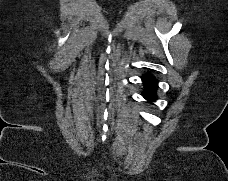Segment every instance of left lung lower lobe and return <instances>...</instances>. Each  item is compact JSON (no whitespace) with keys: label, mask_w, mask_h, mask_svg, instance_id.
Returning <instances> with one entry per match:
<instances>
[{"label":"left lung lower lobe","mask_w":228,"mask_h":181,"mask_svg":"<svg viewBox=\"0 0 228 181\" xmlns=\"http://www.w3.org/2000/svg\"><path fill=\"white\" fill-rule=\"evenodd\" d=\"M142 80L144 82L145 86V91L143 93V96L148 100V101H154L156 100V89L158 87L157 80L151 76V75H144L142 77Z\"/></svg>","instance_id":"left-lung-lower-lobe-1"}]
</instances>
